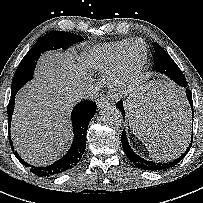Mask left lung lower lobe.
<instances>
[{
  "instance_id": "left-lung-lower-lobe-1",
  "label": "left lung lower lobe",
  "mask_w": 203,
  "mask_h": 203,
  "mask_svg": "<svg viewBox=\"0 0 203 203\" xmlns=\"http://www.w3.org/2000/svg\"><path fill=\"white\" fill-rule=\"evenodd\" d=\"M159 66L163 70V73L165 75H167L170 79L175 81V83H177L178 85H180L182 87L187 86V82H186L184 75L182 74L181 70L179 69L177 64L174 62V60L170 56L162 57L160 60ZM186 96H187L188 102L190 104L192 113H193L192 94L189 89H186ZM184 100H185V104H186L185 111L187 110L186 117L188 120V125L185 124V126L187 127L188 131H190V122H191L190 121V117H191L190 112L191 111H190V108H187L186 99H184ZM116 106L123 113H125L123 104L121 101L117 102ZM158 114H159V111L157 109H155L153 106L148 104L145 108H143L142 118H144L145 120L152 121V120L157 119ZM184 116H185V114H184ZM192 137H193V132H192V136H191V142H190L188 148L186 149V151L183 154H181V156H179L177 159H175L171 162H163V163L146 160V159L138 156L131 149L129 142L127 140V137H126L125 130H123V132H122L121 142H122V146H123L126 156L130 159V161L135 166H137L138 168L143 169V170L157 172V171H165V170L175 166L176 164H178L186 156L187 152L190 150L191 145H192Z\"/></svg>"
}]
</instances>
